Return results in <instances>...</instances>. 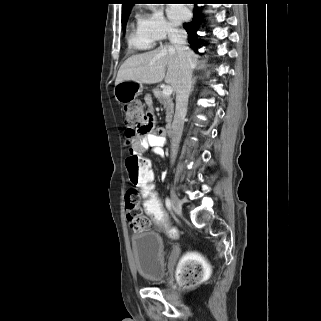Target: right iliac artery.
Masks as SVG:
<instances>
[{"instance_id": "82829eb1", "label": "right iliac artery", "mask_w": 321, "mask_h": 321, "mask_svg": "<svg viewBox=\"0 0 321 321\" xmlns=\"http://www.w3.org/2000/svg\"><path fill=\"white\" fill-rule=\"evenodd\" d=\"M165 204L168 210H171L172 204L169 198H166Z\"/></svg>"}]
</instances>
